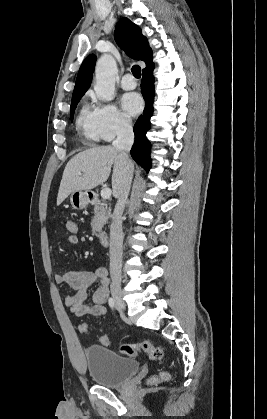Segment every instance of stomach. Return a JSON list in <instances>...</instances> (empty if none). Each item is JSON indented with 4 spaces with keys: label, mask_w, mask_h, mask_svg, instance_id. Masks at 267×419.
<instances>
[{
    "label": "stomach",
    "mask_w": 267,
    "mask_h": 419,
    "mask_svg": "<svg viewBox=\"0 0 267 419\" xmlns=\"http://www.w3.org/2000/svg\"><path fill=\"white\" fill-rule=\"evenodd\" d=\"M90 191H74L70 195V203L76 210L84 209L90 202Z\"/></svg>",
    "instance_id": "obj_1"
}]
</instances>
